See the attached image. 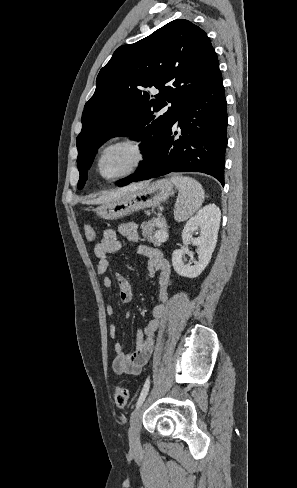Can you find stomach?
Masks as SVG:
<instances>
[{
  "mask_svg": "<svg viewBox=\"0 0 297 488\" xmlns=\"http://www.w3.org/2000/svg\"><path fill=\"white\" fill-rule=\"evenodd\" d=\"M173 189L171 180L160 179L135 191L122 194L115 200L105 202L96 207L94 212L104 220L124 218L138 210L160 205L173 193Z\"/></svg>",
  "mask_w": 297,
  "mask_h": 488,
  "instance_id": "0dacf381",
  "label": "stomach"
}]
</instances>
